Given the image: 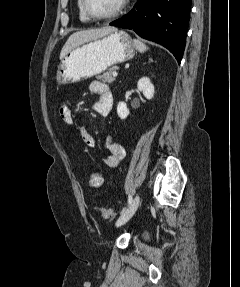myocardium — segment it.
Instances as JSON below:
<instances>
[{
  "label": "myocardium",
  "instance_id": "obj_1",
  "mask_svg": "<svg viewBox=\"0 0 240 287\" xmlns=\"http://www.w3.org/2000/svg\"><path fill=\"white\" fill-rule=\"evenodd\" d=\"M83 1V9L86 15L95 21H106L115 18L126 8L129 0H121L118 6L109 14L106 15H96L89 6V0Z\"/></svg>",
  "mask_w": 240,
  "mask_h": 287
}]
</instances>
